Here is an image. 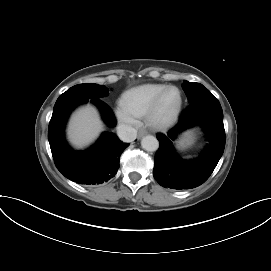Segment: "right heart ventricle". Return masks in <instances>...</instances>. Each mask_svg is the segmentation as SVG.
Listing matches in <instances>:
<instances>
[{
	"label": "right heart ventricle",
	"instance_id": "right-heart-ventricle-1",
	"mask_svg": "<svg viewBox=\"0 0 271 271\" xmlns=\"http://www.w3.org/2000/svg\"><path fill=\"white\" fill-rule=\"evenodd\" d=\"M166 87L164 84H143L125 91L121 106L133 117L146 116L155 97Z\"/></svg>",
	"mask_w": 271,
	"mask_h": 271
}]
</instances>
